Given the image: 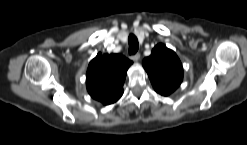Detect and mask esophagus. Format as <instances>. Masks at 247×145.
Returning <instances> with one entry per match:
<instances>
[{
    "label": "esophagus",
    "instance_id": "esophagus-1",
    "mask_svg": "<svg viewBox=\"0 0 247 145\" xmlns=\"http://www.w3.org/2000/svg\"><path fill=\"white\" fill-rule=\"evenodd\" d=\"M130 58L133 60V61H138L140 59V54L139 53H136L134 55H131Z\"/></svg>",
    "mask_w": 247,
    "mask_h": 145
}]
</instances>
